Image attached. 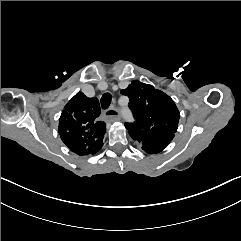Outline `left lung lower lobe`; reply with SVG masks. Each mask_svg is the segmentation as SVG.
<instances>
[{
  "instance_id": "left-lung-lower-lobe-1",
  "label": "left lung lower lobe",
  "mask_w": 241,
  "mask_h": 241,
  "mask_svg": "<svg viewBox=\"0 0 241 241\" xmlns=\"http://www.w3.org/2000/svg\"><path fill=\"white\" fill-rule=\"evenodd\" d=\"M173 137H174V136H172V137L169 138V143H170V141L173 139Z\"/></svg>"
}]
</instances>
